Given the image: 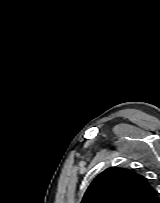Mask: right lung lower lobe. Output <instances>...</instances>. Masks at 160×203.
<instances>
[{
  "label": "right lung lower lobe",
  "instance_id": "1",
  "mask_svg": "<svg viewBox=\"0 0 160 203\" xmlns=\"http://www.w3.org/2000/svg\"><path fill=\"white\" fill-rule=\"evenodd\" d=\"M159 202V200H158V197H157V201H155L154 203H158Z\"/></svg>",
  "mask_w": 160,
  "mask_h": 203
}]
</instances>
